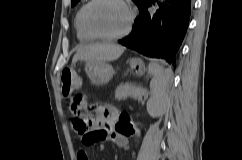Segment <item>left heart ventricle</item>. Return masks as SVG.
I'll list each match as a JSON object with an SVG mask.
<instances>
[{
	"label": "left heart ventricle",
	"mask_w": 242,
	"mask_h": 160,
	"mask_svg": "<svg viewBox=\"0 0 242 160\" xmlns=\"http://www.w3.org/2000/svg\"><path fill=\"white\" fill-rule=\"evenodd\" d=\"M129 12L119 0H99L89 11L91 27L98 33L113 35L123 31Z\"/></svg>",
	"instance_id": "left-heart-ventricle-1"
}]
</instances>
